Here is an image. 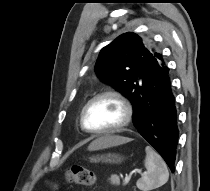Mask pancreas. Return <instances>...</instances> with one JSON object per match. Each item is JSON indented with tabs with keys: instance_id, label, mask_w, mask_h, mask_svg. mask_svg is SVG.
<instances>
[{
	"instance_id": "pancreas-1",
	"label": "pancreas",
	"mask_w": 210,
	"mask_h": 191,
	"mask_svg": "<svg viewBox=\"0 0 210 191\" xmlns=\"http://www.w3.org/2000/svg\"><path fill=\"white\" fill-rule=\"evenodd\" d=\"M109 180L113 185H117L120 182L119 177L117 175H112Z\"/></svg>"
}]
</instances>
